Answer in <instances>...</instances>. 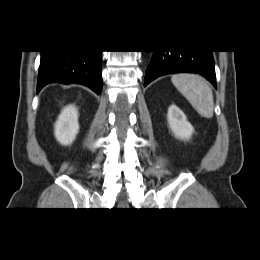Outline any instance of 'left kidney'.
Returning <instances> with one entry per match:
<instances>
[{
  "label": "left kidney",
  "instance_id": "5707ae66",
  "mask_svg": "<svg viewBox=\"0 0 260 260\" xmlns=\"http://www.w3.org/2000/svg\"><path fill=\"white\" fill-rule=\"evenodd\" d=\"M168 123L171 131L178 139H189L194 132L193 126L187 121V117L176 105L168 108Z\"/></svg>",
  "mask_w": 260,
  "mask_h": 260
}]
</instances>
